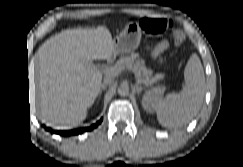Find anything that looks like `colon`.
<instances>
[{"label": "colon", "mask_w": 243, "mask_h": 167, "mask_svg": "<svg viewBox=\"0 0 243 167\" xmlns=\"http://www.w3.org/2000/svg\"><path fill=\"white\" fill-rule=\"evenodd\" d=\"M142 30L149 35H161L167 33L170 39L178 46L185 41V35L181 30L174 28V23L166 18L144 17L140 20Z\"/></svg>", "instance_id": "colon-1"}]
</instances>
